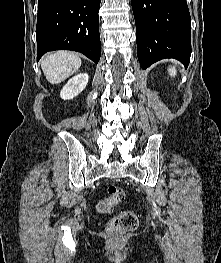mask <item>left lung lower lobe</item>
Returning <instances> with one entry per match:
<instances>
[{
  "instance_id": "obj_1",
  "label": "left lung lower lobe",
  "mask_w": 221,
  "mask_h": 263,
  "mask_svg": "<svg viewBox=\"0 0 221 263\" xmlns=\"http://www.w3.org/2000/svg\"><path fill=\"white\" fill-rule=\"evenodd\" d=\"M138 60L143 69L164 58L188 66L191 17L186 0H131Z\"/></svg>"
}]
</instances>
